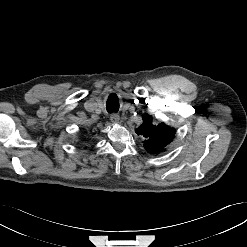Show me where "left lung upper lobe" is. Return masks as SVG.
<instances>
[{
    "label": "left lung upper lobe",
    "mask_w": 247,
    "mask_h": 247,
    "mask_svg": "<svg viewBox=\"0 0 247 247\" xmlns=\"http://www.w3.org/2000/svg\"><path fill=\"white\" fill-rule=\"evenodd\" d=\"M136 133L138 135H143L145 138L144 148L149 153L163 151L175 137V130L173 128H170L164 123L155 125L152 122V116L148 114L143 115V124L136 129Z\"/></svg>",
    "instance_id": "obj_1"
}]
</instances>
